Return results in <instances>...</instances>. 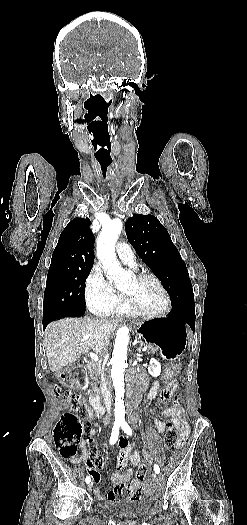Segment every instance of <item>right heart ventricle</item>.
<instances>
[{
    "label": "right heart ventricle",
    "mask_w": 247,
    "mask_h": 525,
    "mask_svg": "<svg viewBox=\"0 0 247 525\" xmlns=\"http://www.w3.org/2000/svg\"><path fill=\"white\" fill-rule=\"evenodd\" d=\"M132 275H133V273H132ZM132 277H134V275ZM133 315H134V310L129 304H118V305L114 306L111 309V311L109 313H107L106 315H104V316H107V317H132Z\"/></svg>",
    "instance_id": "right-heart-ventricle-1"
}]
</instances>
